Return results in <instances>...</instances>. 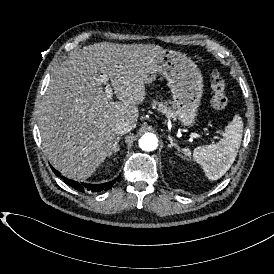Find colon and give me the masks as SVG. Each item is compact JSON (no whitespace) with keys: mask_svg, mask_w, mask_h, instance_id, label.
<instances>
[{"mask_svg":"<svg viewBox=\"0 0 274 274\" xmlns=\"http://www.w3.org/2000/svg\"><path fill=\"white\" fill-rule=\"evenodd\" d=\"M210 81L212 89L211 105L218 110L225 108L228 104V96L224 81L218 71H212Z\"/></svg>","mask_w":274,"mask_h":274,"instance_id":"1","label":"colon"}]
</instances>
